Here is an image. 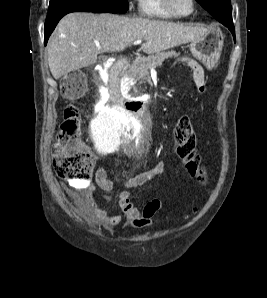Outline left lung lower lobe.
I'll list each match as a JSON object with an SVG mask.
<instances>
[{
    "label": "left lung lower lobe",
    "mask_w": 267,
    "mask_h": 298,
    "mask_svg": "<svg viewBox=\"0 0 267 298\" xmlns=\"http://www.w3.org/2000/svg\"><path fill=\"white\" fill-rule=\"evenodd\" d=\"M223 25H225L226 27H228V29L231 31V33L233 34V36L235 37V32H234V25L232 22V17L226 19V21H220Z\"/></svg>",
    "instance_id": "1"
}]
</instances>
